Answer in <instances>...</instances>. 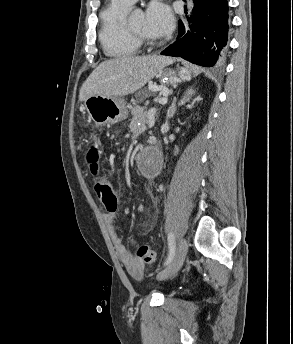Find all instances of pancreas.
Here are the masks:
<instances>
[{
    "instance_id": "1",
    "label": "pancreas",
    "mask_w": 293,
    "mask_h": 344,
    "mask_svg": "<svg viewBox=\"0 0 293 344\" xmlns=\"http://www.w3.org/2000/svg\"><path fill=\"white\" fill-rule=\"evenodd\" d=\"M132 115H133V118H132V123L133 124H136L138 122H140L141 124H144L145 121H146V111L141 108V107H134L132 109Z\"/></svg>"
}]
</instances>
